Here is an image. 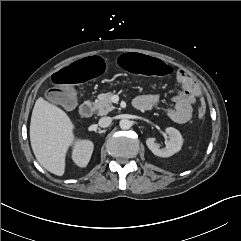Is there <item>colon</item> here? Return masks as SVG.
Masks as SVG:
<instances>
[{
	"mask_svg": "<svg viewBox=\"0 0 241 241\" xmlns=\"http://www.w3.org/2000/svg\"><path fill=\"white\" fill-rule=\"evenodd\" d=\"M119 65L127 71L140 72L156 78L169 79L174 74V66L169 61L157 60L143 52L124 53L119 58ZM106 71V59L98 53H91L73 61L63 70H55L50 75V82L55 88L49 93V99L64 108L74 103L73 93L64 85H72L76 82L91 81L102 76ZM205 105L202 102L198 109V115H205Z\"/></svg>",
	"mask_w": 241,
	"mask_h": 241,
	"instance_id": "obj_1",
	"label": "colon"
}]
</instances>
